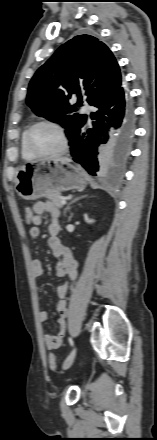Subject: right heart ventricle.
Instances as JSON below:
<instances>
[{
	"mask_svg": "<svg viewBox=\"0 0 157 440\" xmlns=\"http://www.w3.org/2000/svg\"><path fill=\"white\" fill-rule=\"evenodd\" d=\"M28 129H29V127L26 128L22 133L20 146H21L22 157L26 160H31V159H34L36 156L29 151V149L27 148V145H26V134H27Z\"/></svg>",
	"mask_w": 157,
	"mask_h": 440,
	"instance_id": "1",
	"label": "right heart ventricle"
}]
</instances>
